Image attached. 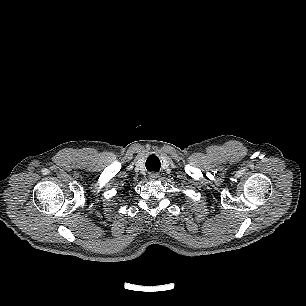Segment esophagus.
<instances>
[{
    "mask_svg": "<svg viewBox=\"0 0 306 306\" xmlns=\"http://www.w3.org/2000/svg\"><path fill=\"white\" fill-rule=\"evenodd\" d=\"M158 177H159L158 173H155V172L149 173V179L150 180H156V179H158Z\"/></svg>",
    "mask_w": 306,
    "mask_h": 306,
    "instance_id": "obj_1",
    "label": "esophagus"
}]
</instances>
